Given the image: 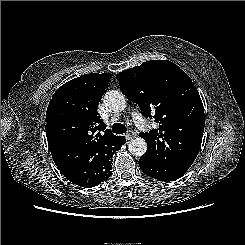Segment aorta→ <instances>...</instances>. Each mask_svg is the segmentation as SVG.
Here are the masks:
<instances>
[{
	"label": "aorta",
	"mask_w": 245,
	"mask_h": 245,
	"mask_svg": "<svg viewBox=\"0 0 245 245\" xmlns=\"http://www.w3.org/2000/svg\"><path fill=\"white\" fill-rule=\"evenodd\" d=\"M103 102L112 113H118L125 109L126 98L120 91L110 90L104 95ZM129 152L135 156H142L147 151V143L143 138L132 139L128 144Z\"/></svg>",
	"instance_id": "1"
}]
</instances>
